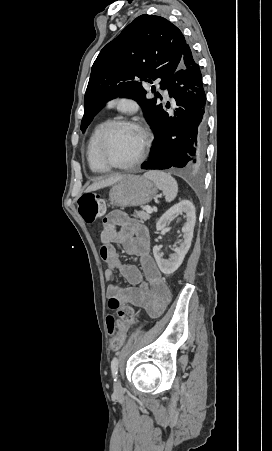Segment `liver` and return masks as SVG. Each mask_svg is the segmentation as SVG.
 I'll use <instances>...</instances> for the list:
<instances>
[{"instance_id": "6515ba94", "label": "liver", "mask_w": 272, "mask_h": 451, "mask_svg": "<svg viewBox=\"0 0 272 451\" xmlns=\"http://www.w3.org/2000/svg\"><path fill=\"white\" fill-rule=\"evenodd\" d=\"M123 176H112V178H107V180H101V182H96L92 186H88L86 192H92V190H99V188H105V186H112L116 182H120Z\"/></svg>"}]
</instances>
